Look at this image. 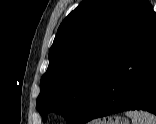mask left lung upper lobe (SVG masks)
Returning <instances> with one entry per match:
<instances>
[{
	"instance_id": "1",
	"label": "left lung upper lobe",
	"mask_w": 156,
	"mask_h": 124,
	"mask_svg": "<svg viewBox=\"0 0 156 124\" xmlns=\"http://www.w3.org/2000/svg\"><path fill=\"white\" fill-rule=\"evenodd\" d=\"M156 17L147 0H83L61 23L36 108L79 124L130 43Z\"/></svg>"
}]
</instances>
